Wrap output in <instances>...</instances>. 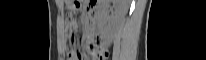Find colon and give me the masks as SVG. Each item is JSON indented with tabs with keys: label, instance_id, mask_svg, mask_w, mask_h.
Listing matches in <instances>:
<instances>
[{
	"label": "colon",
	"instance_id": "1",
	"mask_svg": "<svg viewBox=\"0 0 206 60\" xmlns=\"http://www.w3.org/2000/svg\"><path fill=\"white\" fill-rule=\"evenodd\" d=\"M66 29L68 32L67 51L70 59H74L78 56L80 45V30L77 22L69 17L66 22ZM106 58V52H99L96 55V60H104Z\"/></svg>",
	"mask_w": 206,
	"mask_h": 60
}]
</instances>
